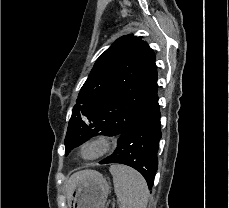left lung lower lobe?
Here are the masks:
<instances>
[{
    "label": "left lung lower lobe",
    "mask_w": 229,
    "mask_h": 208,
    "mask_svg": "<svg viewBox=\"0 0 229 208\" xmlns=\"http://www.w3.org/2000/svg\"><path fill=\"white\" fill-rule=\"evenodd\" d=\"M114 136L113 133H99ZM162 137L158 102L147 112L138 116L119 135L116 151L100 161V164L121 163L139 171L149 189L154 184L158 169L157 152Z\"/></svg>",
    "instance_id": "0a47b994"
}]
</instances>
